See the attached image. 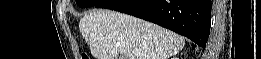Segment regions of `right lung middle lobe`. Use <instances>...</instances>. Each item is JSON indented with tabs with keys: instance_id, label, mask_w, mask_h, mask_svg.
I'll return each instance as SVG.
<instances>
[{
	"instance_id": "obj_1",
	"label": "right lung middle lobe",
	"mask_w": 261,
	"mask_h": 59,
	"mask_svg": "<svg viewBox=\"0 0 261 59\" xmlns=\"http://www.w3.org/2000/svg\"><path fill=\"white\" fill-rule=\"evenodd\" d=\"M102 0H76V4L79 5V7H91L95 6L98 3H100Z\"/></svg>"
}]
</instances>
